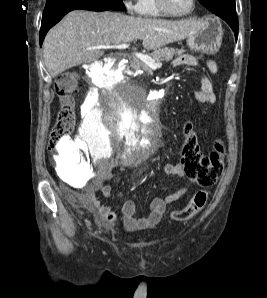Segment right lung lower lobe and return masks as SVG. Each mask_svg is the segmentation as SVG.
Listing matches in <instances>:
<instances>
[{
	"label": "right lung lower lobe",
	"instance_id": "98d812e1",
	"mask_svg": "<svg viewBox=\"0 0 267 298\" xmlns=\"http://www.w3.org/2000/svg\"><path fill=\"white\" fill-rule=\"evenodd\" d=\"M76 9H84V10H92V11H105L112 9L111 7L100 5L94 1L88 0H71L65 2L58 7L54 8L50 13L43 15L41 30H40V45L44 40V37L48 30L54 26L57 22L61 20V18L67 14L68 12Z\"/></svg>",
	"mask_w": 267,
	"mask_h": 298
}]
</instances>
